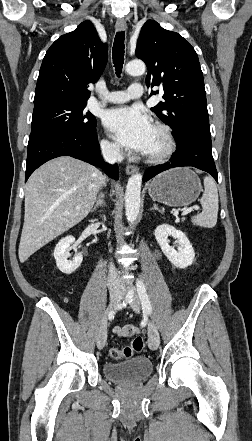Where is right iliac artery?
<instances>
[{
  "label": "right iliac artery",
  "mask_w": 252,
  "mask_h": 441,
  "mask_svg": "<svg viewBox=\"0 0 252 441\" xmlns=\"http://www.w3.org/2000/svg\"><path fill=\"white\" fill-rule=\"evenodd\" d=\"M132 297H133V292H132V291H129V292L127 293V296H126L125 300H123V302L120 303V304H123L124 307H125L128 303H130V302L132 301Z\"/></svg>",
  "instance_id": "1"
}]
</instances>
